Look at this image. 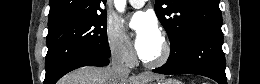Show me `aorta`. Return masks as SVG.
<instances>
[{
    "label": "aorta",
    "instance_id": "1",
    "mask_svg": "<svg viewBox=\"0 0 260 84\" xmlns=\"http://www.w3.org/2000/svg\"><path fill=\"white\" fill-rule=\"evenodd\" d=\"M115 7L119 12H123L125 9L126 1L125 0H115Z\"/></svg>",
    "mask_w": 260,
    "mask_h": 84
}]
</instances>
